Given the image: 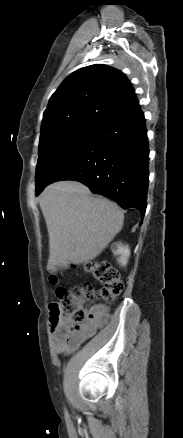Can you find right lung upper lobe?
I'll return each instance as SVG.
<instances>
[{
    "label": "right lung upper lobe",
    "mask_w": 183,
    "mask_h": 438,
    "mask_svg": "<svg viewBox=\"0 0 183 438\" xmlns=\"http://www.w3.org/2000/svg\"><path fill=\"white\" fill-rule=\"evenodd\" d=\"M138 105L125 75L106 65H91L69 75L51 96L41 136L56 129L101 123Z\"/></svg>",
    "instance_id": "cb5924a9"
}]
</instances>
